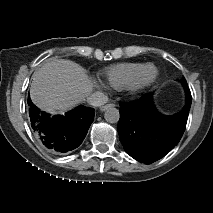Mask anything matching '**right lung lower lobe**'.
Masks as SVG:
<instances>
[{"instance_id":"98d812e1","label":"right lung lower lobe","mask_w":213,"mask_h":213,"mask_svg":"<svg viewBox=\"0 0 213 213\" xmlns=\"http://www.w3.org/2000/svg\"><path fill=\"white\" fill-rule=\"evenodd\" d=\"M29 116L35 134L48 148L67 152L78 147L94 119V109L79 106L65 115L51 117L41 112L28 97Z\"/></svg>"}]
</instances>
